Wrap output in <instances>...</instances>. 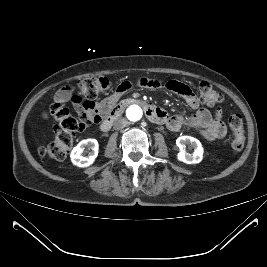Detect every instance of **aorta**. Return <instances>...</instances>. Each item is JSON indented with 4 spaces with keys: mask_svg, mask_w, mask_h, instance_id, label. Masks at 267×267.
<instances>
[{
    "mask_svg": "<svg viewBox=\"0 0 267 267\" xmlns=\"http://www.w3.org/2000/svg\"><path fill=\"white\" fill-rule=\"evenodd\" d=\"M128 120L136 122L142 118V109L138 105H131L126 110Z\"/></svg>",
    "mask_w": 267,
    "mask_h": 267,
    "instance_id": "aorta-1",
    "label": "aorta"
}]
</instances>
